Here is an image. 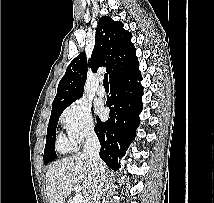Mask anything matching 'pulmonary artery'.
Here are the masks:
<instances>
[{"label":"pulmonary artery","mask_w":214,"mask_h":203,"mask_svg":"<svg viewBox=\"0 0 214 203\" xmlns=\"http://www.w3.org/2000/svg\"><path fill=\"white\" fill-rule=\"evenodd\" d=\"M97 93L98 95L100 96H104L105 95V88L103 85H99L98 88H97Z\"/></svg>","instance_id":"e3ab8cb5"}]
</instances>
